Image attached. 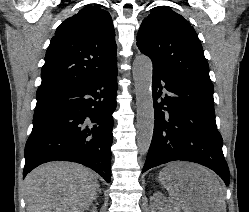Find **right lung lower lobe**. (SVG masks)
Segmentation results:
<instances>
[{
	"instance_id": "98d812e1",
	"label": "right lung lower lobe",
	"mask_w": 249,
	"mask_h": 212,
	"mask_svg": "<svg viewBox=\"0 0 249 212\" xmlns=\"http://www.w3.org/2000/svg\"><path fill=\"white\" fill-rule=\"evenodd\" d=\"M117 65L100 76L37 94L23 177L49 161L85 165L111 180Z\"/></svg>"
}]
</instances>
